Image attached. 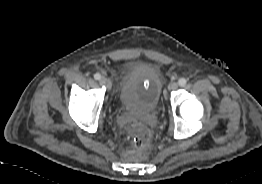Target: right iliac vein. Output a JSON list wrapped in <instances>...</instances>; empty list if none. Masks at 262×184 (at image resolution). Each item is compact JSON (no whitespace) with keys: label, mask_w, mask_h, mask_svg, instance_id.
<instances>
[{"label":"right iliac vein","mask_w":262,"mask_h":184,"mask_svg":"<svg viewBox=\"0 0 262 184\" xmlns=\"http://www.w3.org/2000/svg\"><path fill=\"white\" fill-rule=\"evenodd\" d=\"M100 84L105 86L108 90H110L111 87H112V83H111V81L108 78H104V77L101 78L100 79Z\"/></svg>","instance_id":"1"}]
</instances>
